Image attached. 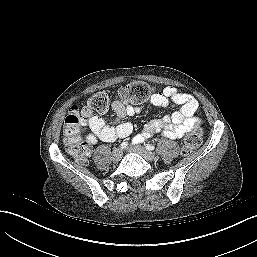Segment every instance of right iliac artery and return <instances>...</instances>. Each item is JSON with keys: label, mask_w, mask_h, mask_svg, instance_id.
<instances>
[{"label": "right iliac artery", "mask_w": 257, "mask_h": 257, "mask_svg": "<svg viewBox=\"0 0 257 257\" xmlns=\"http://www.w3.org/2000/svg\"><path fill=\"white\" fill-rule=\"evenodd\" d=\"M127 146H128V143H127V142H123V143L120 145V148H121V149H125Z\"/></svg>", "instance_id": "obj_1"}]
</instances>
